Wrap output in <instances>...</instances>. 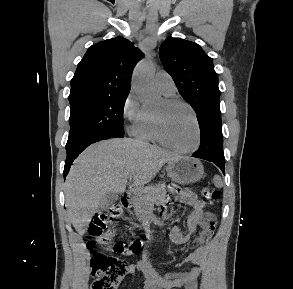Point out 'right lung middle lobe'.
Instances as JSON below:
<instances>
[{"label":"right lung middle lobe","instance_id":"dd1d6c3e","mask_svg":"<svg viewBox=\"0 0 293 289\" xmlns=\"http://www.w3.org/2000/svg\"><path fill=\"white\" fill-rule=\"evenodd\" d=\"M127 96H90L70 101L66 146L104 132L124 134L123 110Z\"/></svg>","mask_w":293,"mask_h":289}]
</instances>
